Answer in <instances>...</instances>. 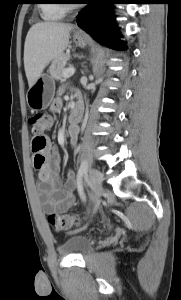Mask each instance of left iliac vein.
Listing matches in <instances>:
<instances>
[{"label":"left iliac vein","mask_w":181,"mask_h":300,"mask_svg":"<svg viewBox=\"0 0 181 300\" xmlns=\"http://www.w3.org/2000/svg\"><path fill=\"white\" fill-rule=\"evenodd\" d=\"M90 181L93 188V194H92V202L94 205L93 211L97 208L99 204V198L103 192V175L102 173L97 169H92L90 171Z\"/></svg>","instance_id":"left-iliac-vein-1"}]
</instances>
